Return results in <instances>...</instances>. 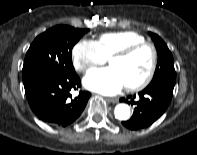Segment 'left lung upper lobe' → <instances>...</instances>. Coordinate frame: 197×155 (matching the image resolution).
Wrapping results in <instances>:
<instances>
[{"instance_id": "5c2ea615", "label": "left lung upper lobe", "mask_w": 197, "mask_h": 155, "mask_svg": "<svg viewBox=\"0 0 197 155\" xmlns=\"http://www.w3.org/2000/svg\"><path fill=\"white\" fill-rule=\"evenodd\" d=\"M149 35L154 41L158 53V63L154 77L148 86L165 85L174 88L176 72L172 54L165 42L158 35L152 32H149Z\"/></svg>"}]
</instances>
